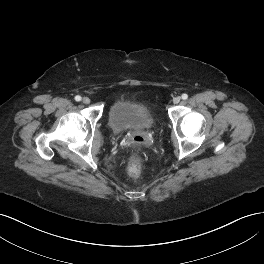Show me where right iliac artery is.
<instances>
[{
    "instance_id": "obj_1",
    "label": "right iliac artery",
    "mask_w": 264,
    "mask_h": 264,
    "mask_svg": "<svg viewBox=\"0 0 264 264\" xmlns=\"http://www.w3.org/2000/svg\"><path fill=\"white\" fill-rule=\"evenodd\" d=\"M75 100L76 101H80L81 100V96H79V95L75 96Z\"/></svg>"
}]
</instances>
